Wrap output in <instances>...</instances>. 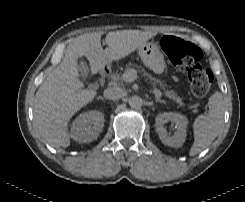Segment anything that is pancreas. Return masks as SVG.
I'll return each mask as SVG.
<instances>
[{
    "mask_svg": "<svg viewBox=\"0 0 245 202\" xmlns=\"http://www.w3.org/2000/svg\"><path fill=\"white\" fill-rule=\"evenodd\" d=\"M130 69V68H128ZM127 69V70H128ZM146 74V73H145ZM149 79H151L154 83H160L159 80H156L154 77H152L151 75H148L146 74ZM117 78H120V77H117ZM160 86L163 90H165V88L163 87V85L160 83ZM165 96L168 97L169 99H172L173 101L177 102L179 105H183V102H182V99L176 95V93L174 91H168V90H165Z\"/></svg>",
    "mask_w": 245,
    "mask_h": 202,
    "instance_id": "1",
    "label": "pancreas"
}]
</instances>
